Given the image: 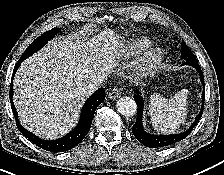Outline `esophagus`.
I'll return each mask as SVG.
<instances>
[{"mask_svg": "<svg viewBox=\"0 0 224 175\" xmlns=\"http://www.w3.org/2000/svg\"><path fill=\"white\" fill-rule=\"evenodd\" d=\"M120 95H121V89L118 88V87H114V88L108 93V97H109L110 99H113V100L119 98Z\"/></svg>", "mask_w": 224, "mask_h": 175, "instance_id": "obj_1", "label": "esophagus"}]
</instances>
